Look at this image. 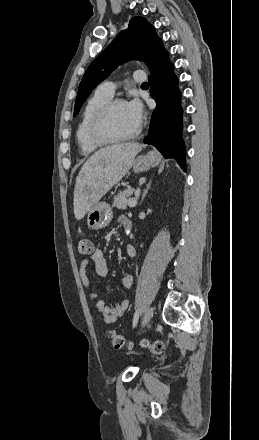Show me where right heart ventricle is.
Here are the masks:
<instances>
[{"instance_id":"obj_1","label":"right heart ventricle","mask_w":259,"mask_h":440,"mask_svg":"<svg viewBox=\"0 0 259 440\" xmlns=\"http://www.w3.org/2000/svg\"><path fill=\"white\" fill-rule=\"evenodd\" d=\"M111 98L112 96L96 90V92L87 100L86 104L84 105L76 129V141L83 154H91L103 146L90 140L88 136V126L95 112Z\"/></svg>"}]
</instances>
